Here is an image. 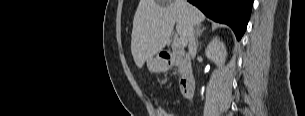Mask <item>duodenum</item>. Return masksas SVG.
Wrapping results in <instances>:
<instances>
[{
    "mask_svg": "<svg viewBox=\"0 0 305 116\" xmlns=\"http://www.w3.org/2000/svg\"><path fill=\"white\" fill-rule=\"evenodd\" d=\"M161 57L169 65L178 63L182 67L181 94L185 99H191L195 89V77L191 69L190 58L185 54H175L170 51H164Z\"/></svg>",
    "mask_w": 305,
    "mask_h": 116,
    "instance_id": "1",
    "label": "duodenum"
}]
</instances>
